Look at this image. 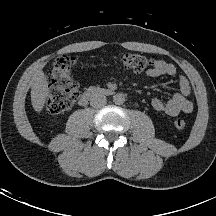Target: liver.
Instances as JSON below:
<instances>
[{"mask_svg": "<svg viewBox=\"0 0 216 216\" xmlns=\"http://www.w3.org/2000/svg\"><path fill=\"white\" fill-rule=\"evenodd\" d=\"M48 93L49 89L47 87V80L44 72L39 70L34 74L31 87V102L36 112L39 113L43 110Z\"/></svg>", "mask_w": 216, "mask_h": 216, "instance_id": "liver-1", "label": "liver"}]
</instances>
